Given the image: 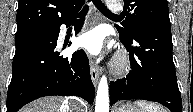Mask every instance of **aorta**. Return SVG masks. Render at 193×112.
<instances>
[{
  "label": "aorta",
  "mask_w": 193,
  "mask_h": 112,
  "mask_svg": "<svg viewBox=\"0 0 193 112\" xmlns=\"http://www.w3.org/2000/svg\"><path fill=\"white\" fill-rule=\"evenodd\" d=\"M95 112H109V88L105 76H102L98 85Z\"/></svg>",
  "instance_id": "762f6f07"
}]
</instances>
